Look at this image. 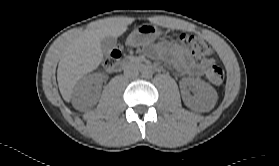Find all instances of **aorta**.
Instances as JSON below:
<instances>
[{"label": "aorta", "instance_id": "obj_1", "mask_svg": "<svg viewBox=\"0 0 279 166\" xmlns=\"http://www.w3.org/2000/svg\"><path fill=\"white\" fill-rule=\"evenodd\" d=\"M141 75H142L143 78L149 79V78L152 77L153 71L149 67H144L141 70Z\"/></svg>", "mask_w": 279, "mask_h": 166}]
</instances>
